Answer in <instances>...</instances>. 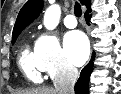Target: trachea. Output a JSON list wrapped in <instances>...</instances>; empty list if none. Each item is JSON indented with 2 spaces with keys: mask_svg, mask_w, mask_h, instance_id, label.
<instances>
[{
  "mask_svg": "<svg viewBox=\"0 0 121 94\" xmlns=\"http://www.w3.org/2000/svg\"><path fill=\"white\" fill-rule=\"evenodd\" d=\"M74 14H75V16L76 17H81V15H82V9H81V5L78 3V2H76V4H75V7H74Z\"/></svg>",
  "mask_w": 121,
  "mask_h": 94,
  "instance_id": "3493384b",
  "label": "trachea"
}]
</instances>
